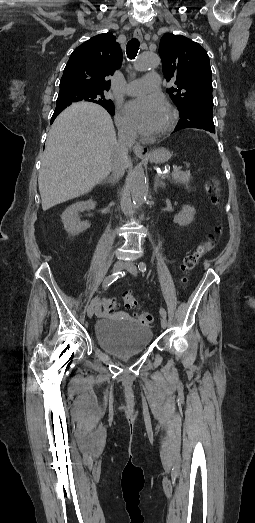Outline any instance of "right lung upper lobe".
I'll list each match as a JSON object with an SVG mask.
<instances>
[{
  "label": "right lung upper lobe",
  "mask_w": 255,
  "mask_h": 523,
  "mask_svg": "<svg viewBox=\"0 0 255 523\" xmlns=\"http://www.w3.org/2000/svg\"><path fill=\"white\" fill-rule=\"evenodd\" d=\"M122 58L120 45L111 32L92 37L72 52L60 81V90L80 89L106 93L110 88L107 77L120 68ZM70 104L57 103L51 122ZM97 104L114 115L112 101L104 100Z\"/></svg>",
  "instance_id": "1"
}]
</instances>
